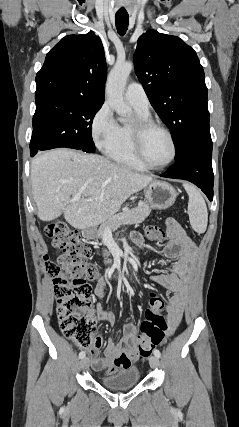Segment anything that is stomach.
Returning a JSON list of instances; mask_svg holds the SVG:
<instances>
[{"mask_svg": "<svg viewBox=\"0 0 239 427\" xmlns=\"http://www.w3.org/2000/svg\"><path fill=\"white\" fill-rule=\"evenodd\" d=\"M145 198L148 204L157 210H165L172 206L176 200V190L167 182L153 181L144 189ZM83 235L87 239L97 238V229L88 228L83 230Z\"/></svg>", "mask_w": 239, "mask_h": 427, "instance_id": "stomach-1", "label": "stomach"}]
</instances>
